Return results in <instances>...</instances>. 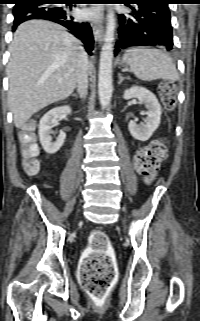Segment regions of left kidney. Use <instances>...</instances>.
Returning <instances> with one entry per match:
<instances>
[{
    "label": "left kidney",
    "instance_id": "left-kidney-1",
    "mask_svg": "<svg viewBox=\"0 0 200 321\" xmlns=\"http://www.w3.org/2000/svg\"><path fill=\"white\" fill-rule=\"evenodd\" d=\"M137 98L141 104L147 108L145 123L137 124L135 121H130L128 128L131 135L139 141H147L154 131L159 127L161 120V106L156 96L144 87L133 86L125 90L123 98L125 100Z\"/></svg>",
    "mask_w": 200,
    "mask_h": 321
}]
</instances>
